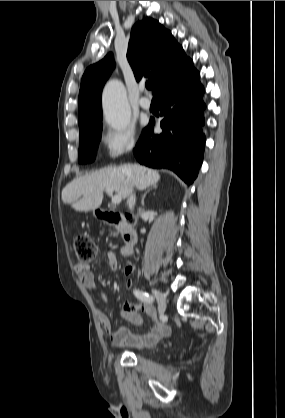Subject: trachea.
Returning <instances> with one entry per match:
<instances>
[{
	"instance_id": "trachea-1",
	"label": "trachea",
	"mask_w": 285,
	"mask_h": 418,
	"mask_svg": "<svg viewBox=\"0 0 285 418\" xmlns=\"http://www.w3.org/2000/svg\"><path fill=\"white\" fill-rule=\"evenodd\" d=\"M146 88H147V89H152V83H147V84H146Z\"/></svg>"
}]
</instances>
